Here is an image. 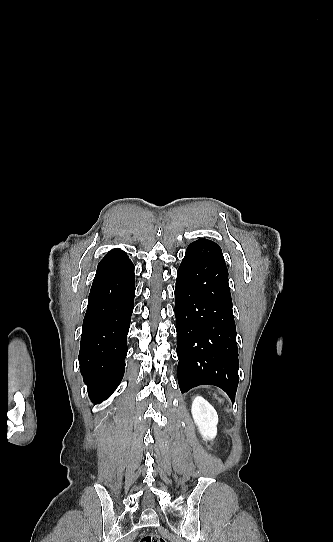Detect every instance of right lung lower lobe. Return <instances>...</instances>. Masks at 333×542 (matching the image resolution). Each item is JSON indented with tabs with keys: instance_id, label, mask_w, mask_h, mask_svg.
<instances>
[{
	"instance_id": "98d812e1",
	"label": "right lung lower lobe",
	"mask_w": 333,
	"mask_h": 542,
	"mask_svg": "<svg viewBox=\"0 0 333 542\" xmlns=\"http://www.w3.org/2000/svg\"><path fill=\"white\" fill-rule=\"evenodd\" d=\"M134 265L114 249L98 264L83 321L79 364L90 399L98 404L118 387L125 370L135 295Z\"/></svg>"
}]
</instances>
